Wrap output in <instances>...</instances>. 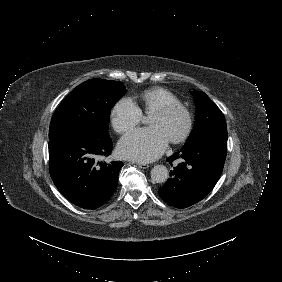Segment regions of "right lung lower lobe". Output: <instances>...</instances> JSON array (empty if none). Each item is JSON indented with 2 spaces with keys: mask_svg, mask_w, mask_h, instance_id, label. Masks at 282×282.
<instances>
[{
  "mask_svg": "<svg viewBox=\"0 0 282 282\" xmlns=\"http://www.w3.org/2000/svg\"><path fill=\"white\" fill-rule=\"evenodd\" d=\"M110 136L99 137L85 129H72L49 141L51 178L70 202L84 209L106 203L116 191L122 162L96 164L111 154Z\"/></svg>",
  "mask_w": 282,
  "mask_h": 282,
  "instance_id": "obj_1",
  "label": "right lung lower lobe"
}]
</instances>
